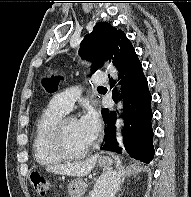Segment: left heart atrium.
<instances>
[{
	"label": "left heart atrium",
	"mask_w": 191,
	"mask_h": 197,
	"mask_svg": "<svg viewBox=\"0 0 191 197\" xmlns=\"http://www.w3.org/2000/svg\"><path fill=\"white\" fill-rule=\"evenodd\" d=\"M78 126L85 138L92 143L101 130V119L98 111L91 107L87 108L78 120Z\"/></svg>",
	"instance_id": "obj_1"
}]
</instances>
